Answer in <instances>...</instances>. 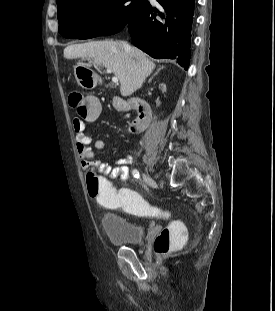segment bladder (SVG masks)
Segmentation results:
<instances>
[{"mask_svg": "<svg viewBox=\"0 0 275 311\" xmlns=\"http://www.w3.org/2000/svg\"><path fill=\"white\" fill-rule=\"evenodd\" d=\"M101 225L108 239L115 245L137 246L142 241L143 228L117 213H103Z\"/></svg>", "mask_w": 275, "mask_h": 311, "instance_id": "obj_1", "label": "bladder"}]
</instances>
